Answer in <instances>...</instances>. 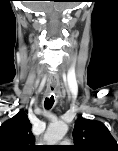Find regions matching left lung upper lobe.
<instances>
[{
    "instance_id": "obj_1",
    "label": "left lung upper lobe",
    "mask_w": 118,
    "mask_h": 151,
    "mask_svg": "<svg viewBox=\"0 0 118 151\" xmlns=\"http://www.w3.org/2000/svg\"><path fill=\"white\" fill-rule=\"evenodd\" d=\"M73 139L77 151H118L117 142L102 122L82 116L75 124Z\"/></svg>"
}]
</instances>
